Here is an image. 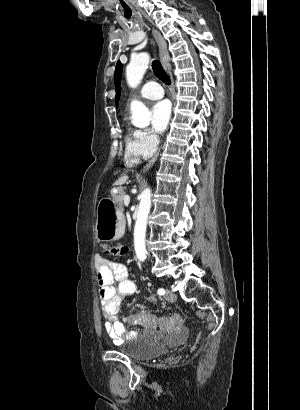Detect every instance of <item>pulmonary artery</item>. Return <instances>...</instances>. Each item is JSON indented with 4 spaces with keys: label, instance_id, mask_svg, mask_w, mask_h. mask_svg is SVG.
I'll return each instance as SVG.
<instances>
[{
    "label": "pulmonary artery",
    "instance_id": "e3ab8cb5",
    "mask_svg": "<svg viewBox=\"0 0 300 410\" xmlns=\"http://www.w3.org/2000/svg\"><path fill=\"white\" fill-rule=\"evenodd\" d=\"M164 95L163 89L156 82L146 83L139 92V96L143 99L157 100Z\"/></svg>",
    "mask_w": 300,
    "mask_h": 410
}]
</instances>
